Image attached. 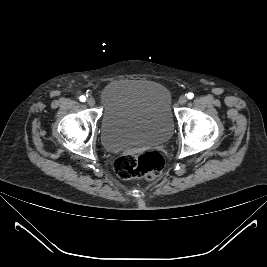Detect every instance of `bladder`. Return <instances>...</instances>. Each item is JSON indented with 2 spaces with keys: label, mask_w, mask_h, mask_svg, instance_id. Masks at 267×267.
Returning a JSON list of instances; mask_svg holds the SVG:
<instances>
[{
  "label": "bladder",
  "mask_w": 267,
  "mask_h": 267,
  "mask_svg": "<svg viewBox=\"0 0 267 267\" xmlns=\"http://www.w3.org/2000/svg\"><path fill=\"white\" fill-rule=\"evenodd\" d=\"M100 99L101 141L107 150L158 145L171 137V95L164 85L150 80H115L103 88Z\"/></svg>",
  "instance_id": "1"
}]
</instances>
